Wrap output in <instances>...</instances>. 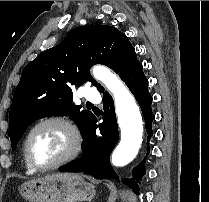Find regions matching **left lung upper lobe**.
<instances>
[{"label": "left lung upper lobe", "instance_id": "left-lung-upper-lobe-1", "mask_svg": "<svg viewBox=\"0 0 209 202\" xmlns=\"http://www.w3.org/2000/svg\"><path fill=\"white\" fill-rule=\"evenodd\" d=\"M95 64L106 65L123 79L140 62L124 33L113 26L86 25L74 29L61 43L24 67L9 112L12 150L30 124L52 115L68 114L84 136L95 116L72 105V87L90 81L104 93L90 75Z\"/></svg>", "mask_w": 209, "mask_h": 202}]
</instances>
